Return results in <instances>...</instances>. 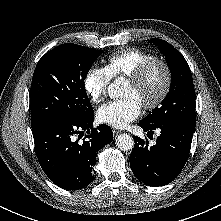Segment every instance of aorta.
<instances>
[{
  "label": "aorta",
  "instance_id": "762f6f07",
  "mask_svg": "<svg viewBox=\"0 0 221 221\" xmlns=\"http://www.w3.org/2000/svg\"><path fill=\"white\" fill-rule=\"evenodd\" d=\"M120 82L112 83L108 87V93L111 98H117L120 95ZM116 146L122 151H129L134 147V139L128 134H120L116 138Z\"/></svg>",
  "mask_w": 221,
  "mask_h": 221
}]
</instances>
